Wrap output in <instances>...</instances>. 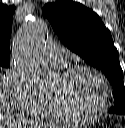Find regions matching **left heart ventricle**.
<instances>
[{"instance_id":"1","label":"left heart ventricle","mask_w":125,"mask_h":128,"mask_svg":"<svg viewBox=\"0 0 125 128\" xmlns=\"http://www.w3.org/2000/svg\"><path fill=\"white\" fill-rule=\"evenodd\" d=\"M50 95L56 96L68 110L81 114L99 110L104 99L100 80L87 71L78 72L65 80L58 77Z\"/></svg>"}]
</instances>
